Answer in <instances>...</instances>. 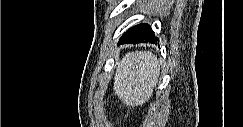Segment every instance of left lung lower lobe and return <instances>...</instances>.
I'll return each mask as SVG.
<instances>
[{
	"instance_id": "obj_1",
	"label": "left lung lower lobe",
	"mask_w": 243,
	"mask_h": 127,
	"mask_svg": "<svg viewBox=\"0 0 243 127\" xmlns=\"http://www.w3.org/2000/svg\"><path fill=\"white\" fill-rule=\"evenodd\" d=\"M153 30L148 24H139L128 29L120 38L119 44H138L157 42Z\"/></svg>"
}]
</instances>
